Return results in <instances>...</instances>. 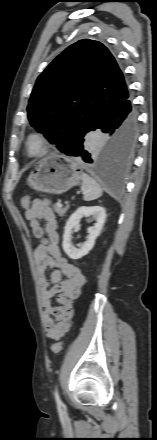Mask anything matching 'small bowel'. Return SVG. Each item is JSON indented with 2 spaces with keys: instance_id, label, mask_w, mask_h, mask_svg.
<instances>
[{
  "instance_id": "c3829d8e",
  "label": "small bowel",
  "mask_w": 157,
  "mask_h": 440,
  "mask_svg": "<svg viewBox=\"0 0 157 440\" xmlns=\"http://www.w3.org/2000/svg\"><path fill=\"white\" fill-rule=\"evenodd\" d=\"M32 234L40 240L34 251L42 320L47 337L59 340L69 330L73 301L85 283L80 268L68 262L59 248L58 225L48 199H35L25 212ZM45 221L42 227L41 222ZM59 305L53 306V301Z\"/></svg>"
}]
</instances>
